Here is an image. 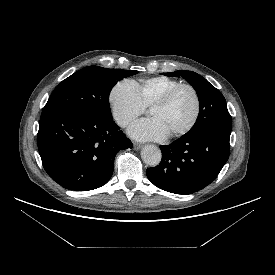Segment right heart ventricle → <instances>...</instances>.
Here are the masks:
<instances>
[{
  "instance_id": "right-heart-ventricle-1",
  "label": "right heart ventricle",
  "mask_w": 275,
  "mask_h": 275,
  "mask_svg": "<svg viewBox=\"0 0 275 275\" xmlns=\"http://www.w3.org/2000/svg\"><path fill=\"white\" fill-rule=\"evenodd\" d=\"M180 83L178 80L166 76H155L141 79L135 84L143 106L150 108L167 91Z\"/></svg>"
}]
</instances>
